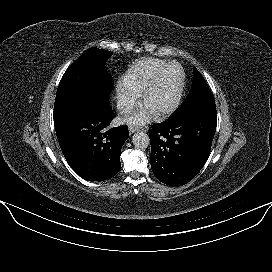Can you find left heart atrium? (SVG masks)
Instances as JSON below:
<instances>
[{
  "label": "left heart atrium",
  "mask_w": 272,
  "mask_h": 272,
  "mask_svg": "<svg viewBox=\"0 0 272 272\" xmlns=\"http://www.w3.org/2000/svg\"><path fill=\"white\" fill-rule=\"evenodd\" d=\"M154 115V112L146 105L140 107L135 112L126 117V121L130 124H144L149 121Z\"/></svg>",
  "instance_id": "39dd6f15"
}]
</instances>
